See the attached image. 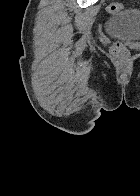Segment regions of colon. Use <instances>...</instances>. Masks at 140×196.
<instances>
[{
	"mask_svg": "<svg viewBox=\"0 0 140 196\" xmlns=\"http://www.w3.org/2000/svg\"><path fill=\"white\" fill-rule=\"evenodd\" d=\"M124 8L123 4L119 2H112L107 6V11L110 13H116ZM111 53L114 59L119 63H125L129 59V50L126 45L120 40L113 42L111 47Z\"/></svg>",
	"mask_w": 140,
	"mask_h": 196,
	"instance_id": "obj_1",
	"label": "colon"
}]
</instances>
